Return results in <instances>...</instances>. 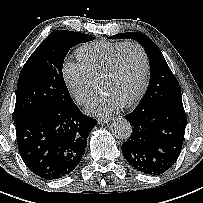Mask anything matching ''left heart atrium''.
<instances>
[{
  "label": "left heart atrium",
  "instance_id": "1",
  "mask_svg": "<svg viewBox=\"0 0 203 203\" xmlns=\"http://www.w3.org/2000/svg\"><path fill=\"white\" fill-rule=\"evenodd\" d=\"M122 106V102L106 93H103L88 103L87 112L98 116H108L117 112Z\"/></svg>",
  "mask_w": 203,
  "mask_h": 203
}]
</instances>
